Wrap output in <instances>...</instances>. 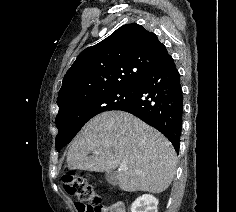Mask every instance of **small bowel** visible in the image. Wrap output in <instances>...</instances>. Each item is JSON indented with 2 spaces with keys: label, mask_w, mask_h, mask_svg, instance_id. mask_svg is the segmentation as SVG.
Here are the masks:
<instances>
[{
  "label": "small bowel",
  "mask_w": 236,
  "mask_h": 212,
  "mask_svg": "<svg viewBox=\"0 0 236 212\" xmlns=\"http://www.w3.org/2000/svg\"><path fill=\"white\" fill-rule=\"evenodd\" d=\"M79 212H81L79 210ZM104 212H125L123 203L117 202L113 203L110 206H104Z\"/></svg>",
  "instance_id": "1"
}]
</instances>
